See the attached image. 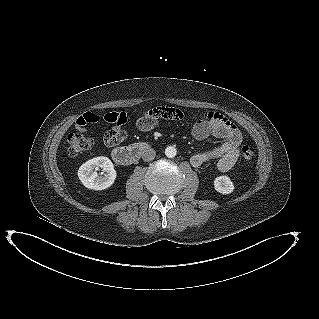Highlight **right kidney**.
I'll list each match as a JSON object with an SVG mask.
<instances>
[{
  "label": "right kidney",
  "mask_w": 319,
  "mask_h": 319,
  "mask_svg": "<svg viewBox=\"0 0 319 319\" xmlns=\"http://www.w3.org/2000/svg\"><path fill=\"white\" fill-rule=\"evenodd\" d=\"M102 168L103 172L98 174L96 170ZM116 171L111 160L107 157H95L82 164L78 170V177L82 184L93 190H104L109 188L116 179Z\"/></svg>",
  "instance_id": "ca27d5eb"
}]
</instances>
